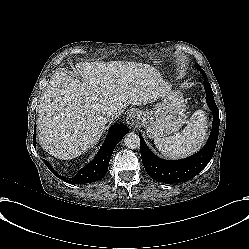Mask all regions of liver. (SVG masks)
<instances>
[{
    "label": "liver",
    "mask_w": 249,
    "mask_h": 249,
    "mask_svg": "<svg viewBox=\"0 0 249 249\" xmlns=\"http://www.w3.org/2000/svg\"><path fill=\"white\" fill-rule=\"evenodd\" d=\"M75 76L58 73L38 104L40 145L59 159H73L94 147L102 136L108 111L145 106L169 89L155 68L125 62L80 63Z\"/></svg>",
    "instance_id": "liver-1"
}]
</instances>
